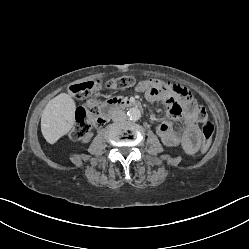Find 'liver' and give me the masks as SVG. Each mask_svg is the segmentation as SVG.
<instances>
[{
  "label": "liver",
  "mask_w": 249,
  "mask_h": 249,
  "mask_svg": "<svg viewBox=\"0 0 249 249\" xmlns=\"http://www.w3.org/2000/svg\"><path fill=\"white\" fill-rule=\"evenodd\" d=\"M75 101L66 93L50 100L41 116V132L46 141L54 144L66 135L75 123Z\"/></svg>",
  "instance_id": "obj_1"
}]
</instances>
